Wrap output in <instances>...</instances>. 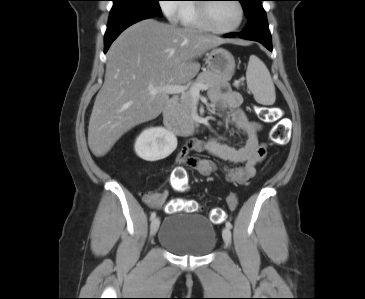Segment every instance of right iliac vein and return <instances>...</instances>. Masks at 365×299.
Listing matches in <instances>:
<instances>
[{
    "label": "right iliac vein",
    "mask_w": 365,
    "mask_h": 299,
    "mask_svg": "<svg viewBox=\"0 0 365 299\" xmlns=\"http://www.w3.org/2000/svg\"><path fill=\"white\" fill-rule=\"evenodd\" d=\"M160 225V219L159 218H154L151 222V226H150V231H151V235H155L156 232L158 231Z\"/></svg>",
    "instance_id": "obj_1"
}]
</instances>
